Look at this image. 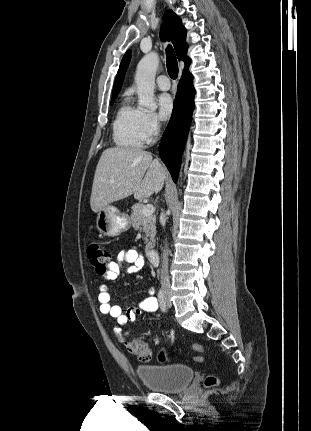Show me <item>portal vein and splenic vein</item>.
I'll list each match as a JSON object with an SVG mask.
<instances>
[{
	"label": "portal vein and splenic vein",
	"instance_id": "18ae733b",
	"mask_svg": "<svg viewBox=\"0 0 311 431\" xmlns=\"http://www.w3.org/2000/svg\"><path fill=\"white\" fill-rule=\"evenodd\" d=\"M144 216H152L154 214V206L152 204H146L142 210Z\"/></svg>",
	"mask_w": 311,
	"mask_h": 431
}]
</instances>
